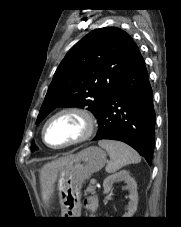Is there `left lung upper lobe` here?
Returning <instances> with one entry per match:
<instances>
[{
    "label": "left lung upper lobe",
    "instance_id": "left-lung-upper-lobe-1",
    "mask_svg": "<svg viewBox=\"0 0 181 227\" xmlns=\"http://www.w3.org/2000/svg\"><path fill=\"white\" fill-rule=\"evenodd\" d=\"M138 52L133 39L119 28L90 32L68 51L58 66L36 124L59 106H88L99 120ZM35 148L33 143L31 149Z\"/></svg>",
    "mask_w": 181,
    "mask_h": 227
}]
</instances>
